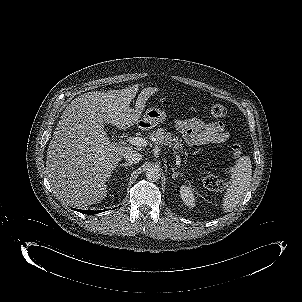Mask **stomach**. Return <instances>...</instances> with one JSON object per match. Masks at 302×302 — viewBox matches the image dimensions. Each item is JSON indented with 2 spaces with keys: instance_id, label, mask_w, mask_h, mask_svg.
Wrapping results in <instances>:
<instances>
[{
  "instance_id": "0dacf381",
  "label": "stomach",
  "mask_w": 302,
  "mask_h": 302,
  "mask_svg": "<svg viewBox=\"0 0 302 302\" xmlns=\"http://www.w3.org/2000/svg\"><path fill=\"white\" fill-rule=\"evenodd\" d=\"M166 118L164 110L160 108H149L145 111L143 117L138 121L142 129L150 130L162 123Z\"/></svg>"
}]
</instances>
